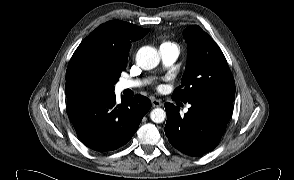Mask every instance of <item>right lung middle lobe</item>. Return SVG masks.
Wrapping results in <instances>:
<instances>
[{
	"label": "right lung middle lobe",
	"instance_id": "right-lung-middle-lobe-1",
	"mask_svg": "<svg viewBox=\"0 0 294 180\" xmlns=\"http://www.w3.org/2000/svg\"><path fill=\"white\" fill-rule=\"evenodd\" d=\"M126 64L114 59L86 55L67 68L66 95L70 100L114 92Z\"/></svg>",
	"mask_w": 294,
	"mask_h": 180
}]
</instances>
